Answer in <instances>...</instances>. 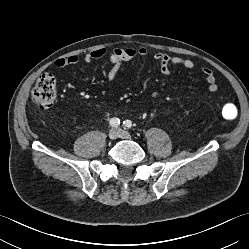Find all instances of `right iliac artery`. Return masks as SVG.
Listing matches in <instances>:
<instances>
[{"mask_svg":"<svg viewBox=\"0 0 249 249\" xmlns=\"http://www.w3.org/2000/svg\"><path fill=\"white\" fill-rule=\"evenodd\" d=\"M109 123L112 127H118L120 125V120L119 118L114 117V118H111Z\"/></svg>","mask_w":249,"mask_h":249,"instance_id":"right-iliac-artery-1","label":"right iliac artery"}]
</instances>
